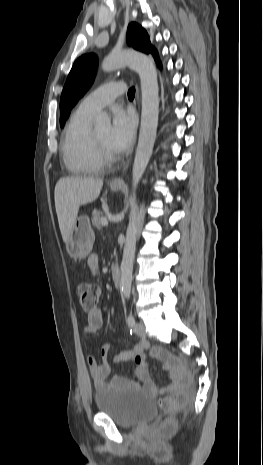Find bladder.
Listing matches in <instances>:
<instances>
[{"label":"bladder","mask_w":263,"mask_h":465,"mask_svg":"<svg viewBox=\"0 0 263 465\" xmlns=\"http://www.w3.org/2000/svg\"><path fill=\"white\" fill-rule=\"evenodd\" d=\"M100 413L111 417L119 426L135 427L151 421L157 414L154 401L143 392L126 387H106L95 394Z\"/></svg>","instance_id":"obj_1"}]
</instances>
